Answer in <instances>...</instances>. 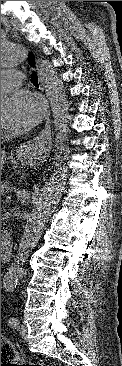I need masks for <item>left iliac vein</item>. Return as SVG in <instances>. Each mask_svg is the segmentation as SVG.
<instances>
[{"label":"left iliac vein","instance_id":"left-iliac-vein-1","mask_svg":"<svg viewBox=\"0 0 122 366\" xmlns=\"http://www.w3.org/2000/svg\"><path fill=\"white\" fill-rule=\"evenodd\" d=\"M18 329L20 331V334L26 339V334L28 332V329L25 325H19Z\"/></svg>","mask_w":122,"mask_h":366}]
</instances>
